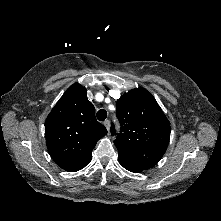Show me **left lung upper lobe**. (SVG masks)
Segmentation results:
<instances>
[{
    "label": "left lung upper lobe",
    "instance_id": "left-lung-upper-lobe-1",
    "mask_svg": "<svg viewBox=\"0 0 221 221\" xmlns=\"http://www.w3.org/2000/svg\"><path fill=\"white\" fill-rule=\"evenodd\" d=\"M116 106L121 131L117 134L112 124L111 134L117 135L114 144L118 159L142 170L153 167L164 155L170 139L165 114L152 94L143 88L123 94Z\"/></svg>",
    "mask_w": 221,
    "mask_h": 221
}]
</instances>
